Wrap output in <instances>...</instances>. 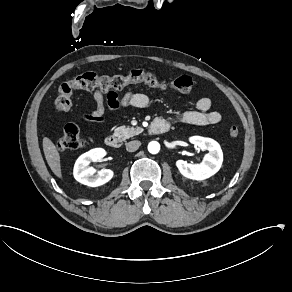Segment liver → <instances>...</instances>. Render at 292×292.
Wrapping results in <instances>:
<instances>
[{
  "label": "liver",
  "instance_id": "1",
  "mask_svg": "<svg viewBox=\"0 0 292 292\" xmlns=\"http://www.w3.org/2000/svg\"><path fill=\"white\" fill-rule=\"evenodd\" d=\"M42 146L45 159L51 171L57 178L62 179L61 159L56 145L48 137H44Z\"/></svg>",
  "mask_w": 292,
  "mask_h": 292
}]
</instances>
